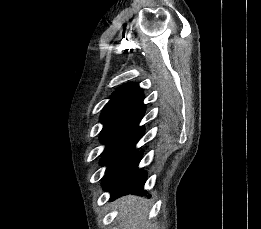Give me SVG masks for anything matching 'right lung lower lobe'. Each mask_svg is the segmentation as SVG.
Listing matches in <instances>:
<instances>
[{
  "instance_id": "98d812e1",
  "label": "right lung lower lobe",
  "mask_w": 261,
  "mask_h": 229,
  "mask_svg": "<svg viewBox=\"0 0 261 229\" xmlns=\"http://www.w3.org/2000/svg\"><path fill=\"white\" fill-rule=\"evenodd\" d=\"M142 154L141 151H136L117 162L107 171L102 183L103 188L111 194L110 200L130 193L146 194V191L143 189L146 181V172L138 168Z\"/></svg>"
}]
</instances>
